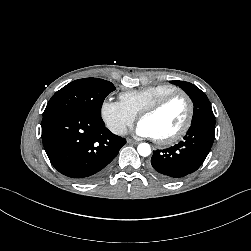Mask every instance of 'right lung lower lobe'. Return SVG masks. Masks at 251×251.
Segmentation results:
<instances>
[{
  "label": "right lung lower lobe",
  "mask_w": 251,
  "mask_h": 251,
  "mask_svg": "<svg viewBox=\"0 0 251 251\" xmlns=\"http://www.w3.org/2000/svg\"><path fill=\"white\" fill-rule=\"evenodd\" d=\"M42 141L52 165L79 182L100 177L126 143L101 116L64 110L43 114Z\"/></svg>",
  "instance_id": "right-lung-lower-lobe-1"
}]
</instances>
